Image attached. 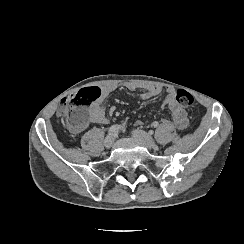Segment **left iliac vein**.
I'll return each instance as SVG.
<instances>
[{
  "instance_id": "left-iliac-vein-1",
  "label": "left iliac vein",
  "mask_w": 244,
  "mask_h": 244,
  "mask_svg": "<svg viewBox=\"0 0 244 244\" xmlns=\"http://www.w3.org/2000/svg\"><path fill=\"white\" fill-rule=\"evenodd\" d=\"M132 136L136 141H138L139 143H141L142 145L146 146L149 149H152L156 146L154 139L149 134H147L142 130L139 129L134 130Z\"/></svg>"
}]
</instances>
